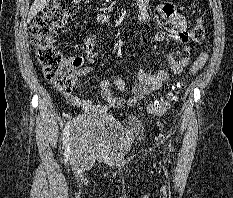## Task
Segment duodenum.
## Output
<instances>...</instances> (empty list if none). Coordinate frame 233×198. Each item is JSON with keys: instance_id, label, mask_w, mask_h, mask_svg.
I'll return each mask as SVG.
<instances>
[{"instance_id": "410a0bca", "label": "duodenum", "mask_w": 233, "mask_h": 198, "mask_svg": "<svg viewBox=\"0 0 233 198\" xmlns=\"http://www.w3.org/2000/svg\"><path fill=\"white\" fill-rule=\"evenodd\" d=\"M106 19H107V18H106L105 15H101V14L98 15V20H100V21H105Z\"/></svg>"}]
</instances>
